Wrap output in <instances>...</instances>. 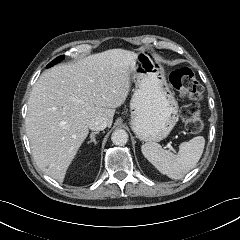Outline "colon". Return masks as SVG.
<instances>
[{"label":"colon","instance_id":"colon-1","mask_svg":"<svg viewBox=\"0 0 240 240\" xmlns=\"http://www.w3.org/2000/svg\"><path fill=\"white\" fill-rule=\"evenodd\" d=\"M170 82L182 99L188 100L181 111V117L187 131L198 134L203 129V118L199 109V101L203 98V87L192 70L186 67L175 69L170 74Z\"/></svg>","mask_w":240,"mask_h":240}]
</instances>
